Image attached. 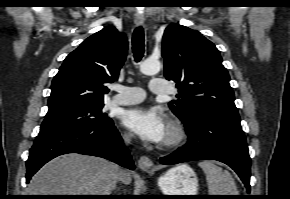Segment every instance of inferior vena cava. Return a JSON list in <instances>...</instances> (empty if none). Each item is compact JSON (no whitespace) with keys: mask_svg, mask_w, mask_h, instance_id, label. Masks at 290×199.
I'll return each mask as SVG.
<instances>
[{"mask_svg":"<svg viewBox=\"0 0 290 199\" xmlns=\"http://www.w3.org/2000/svg\"><path fill=\"white\" fill-rule=\"evenodd\" d=\"M131 137H132V134H125V135L123 136V140H124L125 144H129V143H130V141H131ZM121 176H122V171L119 169V172H118V173L116 174V176H115L114 187H115L116 182H117L118 180L121 181Z\"/></svg>","mask_w":290,"mask_h":199,"instance_id":"602c4592","label":"inferior vena cava"}]
</instances>
